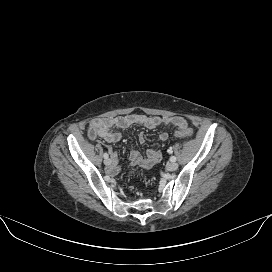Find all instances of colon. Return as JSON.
Listing matches in <instances>:
<instances>
[{"mask_svg": "<svg viewBox=\"0 0 272 272\" xmlns=\"http://www.w3.org/2000/svg\"><path fill=\"white\" fill-rule=\"evenodd\" d=\"M174 134L177 136V137H180V138H188V137H191L193 135V131L187 127H178L176 126L174 128Z\"/></svg>", "mask_w": 272, "mask_h": 272, "instance_id": "obj_1", "label": "colon"}]
</instances>
